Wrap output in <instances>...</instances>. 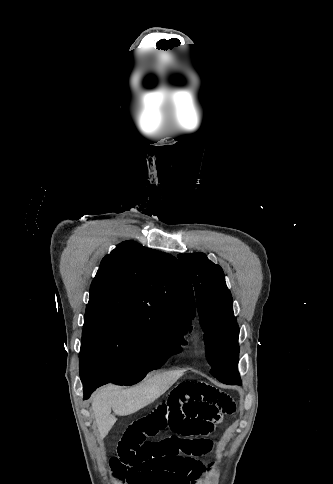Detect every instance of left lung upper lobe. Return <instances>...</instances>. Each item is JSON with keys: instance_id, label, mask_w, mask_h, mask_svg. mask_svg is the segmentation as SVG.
<instances>
[{"instance_id": "obj_1", "label": "left lung upper lobe", "mask_w": 333, "mask_h": 484, "mask_svg": "<svg viewBox=\"0 0 333 484\" xmlns=\"http://www.w3.org/2000/svg\"><path fill=\"white\" fill-rule=\"evenodd\" d=\"M178 258L194 285L207 360L212 367L210 373L223 383H240L237 370L239 327L224 272L204 253L179 254Z\"/></svg>"}]
</instances>
